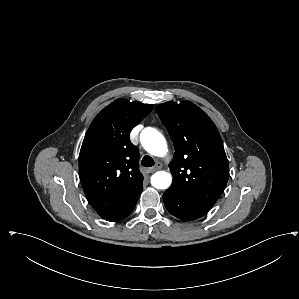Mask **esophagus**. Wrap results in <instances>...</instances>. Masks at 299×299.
Masks as SVG:
<instances>
[{
    "instance_id": "esophagus-1",
    "label": "esophagus",
    "mask_w": 299,
    "mask_h": 299,
    "mask_svg": "<svg viewBox=\"0 0 299 299\" xmlns=\"http://www.w3.org/2000/svg\"><path fill=\"white\" fill-rule=\"evenodd\" d=\"M161 168H162V164L158 162V163H156V165L154 167L149 168L148 172L149 173H153V172H155L157 170H160Z\"/></svg>"
}]
</instances>
